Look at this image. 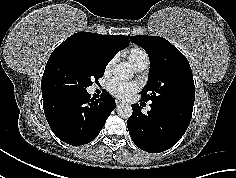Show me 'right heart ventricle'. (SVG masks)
<instances>
[{
	"mask_svg": "<svg viewBox=\"0 0 236 178\" xmlns=\"http://www.w3.org/2000/svg\"><path fill=\"white\" fill-rule=\"evenodd\" d=\"M126 57L135 69L146 68L149 64V55L141 47H132L126 52Z\"/></svg>",
	"mask_w": 236,
	"mask_h": 178,
	"instance_id": "right-heart-ventricle-1",
	"label": "right heart ventricle"
}]
</instances>
